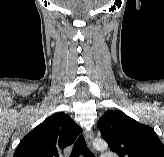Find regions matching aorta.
<instances>
[{
  "label": "aorta",
  "instance_id": "obj_1",
  "mask_svg": "<svg viewBox=\"0 0 164 157\" xmlns=\"http://www.w3.org/2000/svg\"><path fill=\"white\" fill-rule=\"evenodd\" d=\"M93 147L99 151H105L108 148L106 141L97 139L93 142Z\"/></svg>",
  "mask_w": 164,
  "mask_h": 157
}]
</instances>
